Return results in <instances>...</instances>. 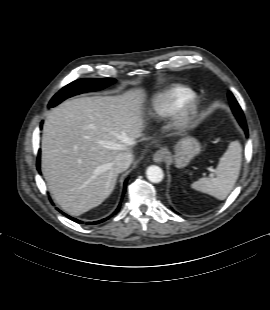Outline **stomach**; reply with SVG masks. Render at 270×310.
I'll list each match as a JSON object with an SVG mask.
<instances>
[{
  "label": "stomach",
  "mask_w": 270,
  "mask_h": 310,
  "mask_svg": "<svg viewBox=\"0 0 270 310\" xmlns=\"http://www.w3.org/2000/svg\"><path fill=\"white\" fill-rule=\"evenodd\" d=\"M200 151L201 145L197 139L190 136L183 137L174 146L173 161L176 167L187 166Z\"/></svg>",
  "instance_id": "1"
}]
</instances>
